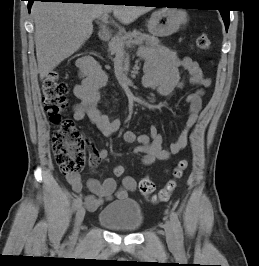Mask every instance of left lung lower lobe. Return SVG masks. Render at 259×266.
I'll return each mask as SVG.
<instances>
[{"mask_svg":"<svg viewBox=\"0 0 259 266\" xmlns=\"http://www.w3.org/2000/svg\"><path fill=\"white\" fill-rule=\"evenodd\" d=\"M160 3H163V2H160ZM221 12V16L223 18V21H224V24H225V27H226V31L229 27V22H230V11L226 10V9H222V10H219Z\"/></svg>","mask_w":259,"mask_h":266,"instance_id":"1","label":"left lung lower lobe"}]
</instances>
